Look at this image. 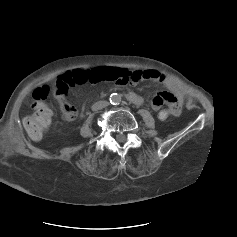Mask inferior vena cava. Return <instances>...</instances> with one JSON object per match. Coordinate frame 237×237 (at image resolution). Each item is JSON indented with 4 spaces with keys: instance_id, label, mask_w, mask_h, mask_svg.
Masks as SVG:
<instances>
[{
    "instance_id": "inferior-vena-cava-1",
    "label": "inferior vena cava",
    "mask_w": 237,
    "mask_h": 237,
    "mask_svg": "<svg viewBox=\"0 0 237 237\" xmlns=\"http://www.w3.org/2000/svg\"><path fill=\"white\" fill-rule=\"evenodd\" d=\"M109 105V102L101 100L96 103H94L91 107L92 111H98L101 110Z\"/></svg>"
}]
</instances>
